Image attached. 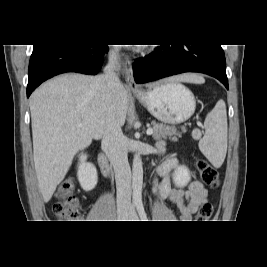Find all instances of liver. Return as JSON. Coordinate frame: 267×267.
<instances>
[{"label":"liver","instance_id":"6515ba94","mask_svg":"<svg viewBox=\"0 0 267 267\" xmlns=\"http://www.w3.org/2000/svg\"><path fill=\"white\" fill-rule=\"evenodd\" d=\"M168 81L203 84L185 73ZM128 94L123 85L107 90L99 77L64 74L41 85L30 97L33 156L40 192L48 202L65 178L74 156L103 136L109 110L126 119ZM81 124V126H80Z\"/></svg>","mask_w":267,"mask_h":267}]
</instances>
